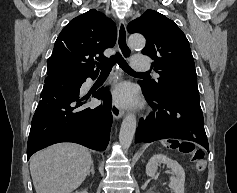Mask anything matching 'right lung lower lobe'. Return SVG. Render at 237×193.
Listing matches in <instances>:
<instances>
[{
    "mask_svg": "<svg viewBox=\"0 0 237 193\" xmlns=\"http://www.w3.org/2000/svg\"><path fill=\"white\" fill-rule=\"evenodd\" d=\"M48 72L39 105L32 119L27 159L38 150L59 142H74L94 150H105L112 124L111 96L99 89L93 97L103 100L96 108H85L79 91L87 77Z\"/></svg>",
    "mask_w": 237,
    "mask_h": 193,
    "instance_id": "98d812e1",
    "label": "right lung lower lobe"
}]
</instances>
